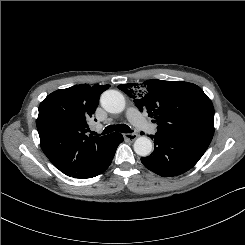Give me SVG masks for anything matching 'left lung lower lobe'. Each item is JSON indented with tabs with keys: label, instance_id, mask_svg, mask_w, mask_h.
Listing matches in <instances>:
<instances>
[{
	"label": "left lung lower lobe",
	"instance_id": "1",
	"mask_svg": "<svg viewBox=\"0 0 245 245\" xmlns=\"http://www.w3.org/2000/svg\"><path fill=\"white\" fill-rule=\"evenodd\" d=\"M153 154L141 158L143 165L160 176H177L191 169L202 157L210 143L197 138L157 132Z\"/></svg>",
	"mask_w": 245,
	"mask_h": 245
}]
</instances>
